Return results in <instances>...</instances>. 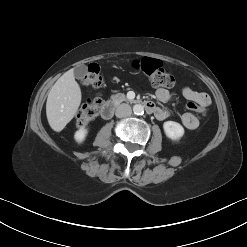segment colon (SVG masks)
Returning <instances> with one entry per match:
<instances>
[{
	"instance_id": "1",
	"label": "colon",
	"mask_w": 247,
	"mask_h": 247,
	"mask_svg": "<svg viewBox=\"0 0 247 247\" xmlns=\"http://www.w3.org/2000/svg\"><path fill=\"white\" fill-rule=\"evenodd\" d=\"M133 67L142 72L156 87L172 88L176 84L173 75L163 67L160 60L150 57H144L141 60L135 61ZM83 85L92 88H99L103 83L100 67L91 63L88 66L87 73L82 78ZM101 99L96 96L88 100L79 110L76 116V123L82 127L96 118L101 109ZM187 108L201 114H206L207 109L196 103H188Z\"/></svg>"
}]
</instances>
